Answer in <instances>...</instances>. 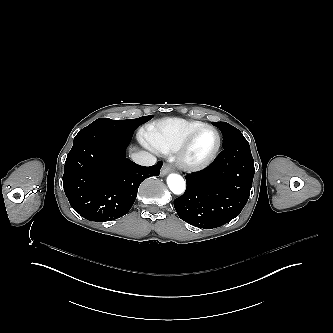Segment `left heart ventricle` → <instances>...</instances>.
<instances>
[{
    "instance_id": "left-heart-ventricle-1",
    "label": "left heart ventricle",
    "mask_w": 333,
    "mask_h": 333,
    "mask_svg": "<svg viewBox=\"0 0 333 333\" xmlns=\"http://www.w3.org/2000/svg\"><path fill=\"white\" fill-rule=\"evenodd\" d=\"M217 144V136L210 128L201 130L191 141L188 148V158L202 161L208 158Z\"/></svg>"
}]
</instances>
